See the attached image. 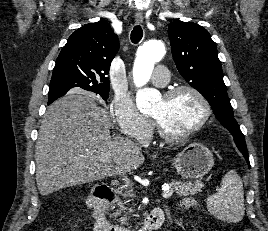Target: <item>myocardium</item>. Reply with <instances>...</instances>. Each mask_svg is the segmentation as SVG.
I'll list each match as a JSON object with an SVG mask.
<instances>
[{
    "instance_id": "f54148a6",
    "label": "myocardium",
    "mask_w": 268,
    "mask_h": 231,
    "mask_svg": "<svg viewBox=\"0 0 268 231\" xmlns=\"http://www.w3.org/2000/svg\"><path fill=\"white\" fill-rule=\"evenodd\" d=\"M181 93L192 94L200 102L202 106V116L200 120L191 129L183 133L170 132L169 130L165 128L163 123L158 118L151 116L158 134L164 140L169 141V142L182 141V140L192 137L194 134H196L205 126V124L208 122L210 115H211V106H210L208 99L205 97V95L202 92H200L195 87H192L189 85H178L165 91L162 98L165 101H168V100L173 99L174 97H176L177 95Z\"/></svg>"
}]
</instances>
